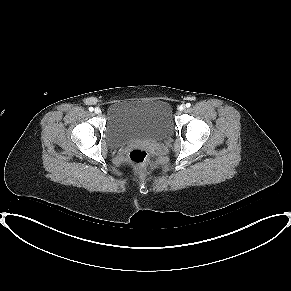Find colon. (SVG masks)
<instances>
[{"label": "colon", "mask_w": 291, "mask_h": 291, "mask_svg": "<svg viewBox=\"0 0 291 291\" xmlns=\"http://www.w3.org/2000/svg\"><path fill=\"white\" fill-rule=\"evenodd\" d=\"M149 158L148 150L144 147H136L127 156V163L133 168L143 167Z\"/></svg>", "instance_id": "obj_1"}]
</instances>
